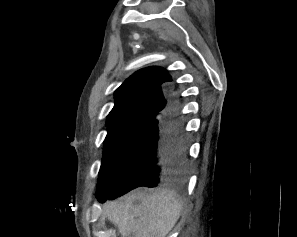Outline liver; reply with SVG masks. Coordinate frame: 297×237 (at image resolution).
<instances>
[{
    "label": "liver",
    "instance_id": "obj_1",
    "mask_svg": "<svg viewBox=\"0 0 297 237\" xmlns=\"http://www.w3.org/2000/svg\"><path fill=\"white\" fill-rule=\"evenodd\" d=\"M182 208V201L170 190L140 189L106 202L103 213L121 237H167Z\"/></svg>",
    "mask_w": 297,
    "mask_h": 237
}]
</instances>
